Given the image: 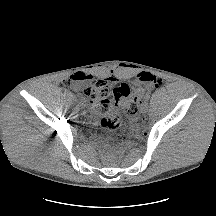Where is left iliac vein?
I'll list each match as a JSON object with an SVG mask.
<instances>
[{
	"label": "left iliac vein",
	"mask_w": 216,
	"mask_h": 216,
	"mask_svg": "<svg viewBox=\"0 0 216 216\" xmlns=\"http://www.w3.org/2000/svg\"><path fill=\"white\" fill-rule=\"evenodd\" d=\"M147 110H148V106H147V105H143V106L141 107V113H146Z\"/></svg>",
	"instance_id": "obj_1"
}]
</instances>
